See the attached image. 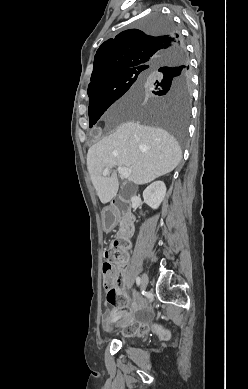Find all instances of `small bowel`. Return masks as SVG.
I'll list each match as a JSON object with an SVG mask.
<instances>
[{"label": "small bowel", "instance_id": "obj_1", "mask_svg": "<svg viewBox=\"0 0 248 389\" xmlns=\"http://www.w3.org/2000/svg\"><path fill=\"white\" fill-rule=\"evenodd\" d=\"M123 266L124 265L122 264L121 269H122V272L124 273L123 268H122ZM125 303H126V301L124 300V302L121 305H125ZM106 304H110V303L107 301ZM117 312H118V310H117L116 306H113L112 308H109L104 312V314L102 316V321H103L105 326H107L111 321L114 320L115 317H117ZM134 316L138 321H144V320L149 318L150 314H149L147 309H145L143 306H141V307H138L136 309Z\"/></svg>", "mask_w": 248, "mask_h": 389}]
</instances>
